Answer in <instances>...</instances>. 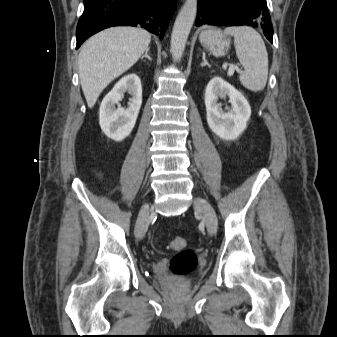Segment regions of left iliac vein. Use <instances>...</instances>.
<instances>
[{
	"mask_svg": "<svg viewBox=\"0 0 337 337\" xmlns=\"http://www.w3.org/2000/svg\"><path fill=\"white\" fill-rule=\"evenodd\" d=\"M194 208L196 211L201 212L206 223L207 231L213 235L217 231V216L211 204L202 198L194 199Z\"/></svg>",
	"mask_w": 337,
	"mask_h": 337,
	"instance_id": "obj_1",
	"label": "left iliac vein"
}]
</instances>
